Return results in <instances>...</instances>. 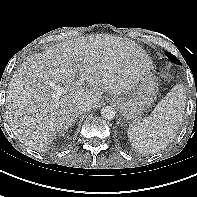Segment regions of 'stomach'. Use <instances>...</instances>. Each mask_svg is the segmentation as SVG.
<instances>
[{
  "label": "stomach",
  "instance_id": "stomach-1",
  "mask_svg": "<svg viewBox=\"0 0 197 197\" xmlns=\"http://www.w3.org/2000/svg\"><path fill=\"white\" fill-rule=\"evenodd\" d=\"M151 69H146L134 88L126 96H113L112 100L126 120H138L157 98L158 86Z\"/></svg>",
  "mask_w": 197,
  "mask_h": 197
}]
</instances>
